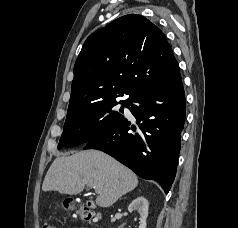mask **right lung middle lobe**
<instances>
[{"label":"right lung middle lobe","mask_w":238,"mask_h":228,"mask_svg":"<svg viewBox=\"0 0 238 228\" xmlns=\"http://www.w3.org/2000/svg\"><path fill=\"white\" fill-rule=\"evenodd\" d=\"M126 106L127 101L121 102ZM116 101H103L68 113L58 149L89 142L123 119V107L116 110Z\"/></svg>","instance_id":"dd1d6c3e"}]
</instances>
